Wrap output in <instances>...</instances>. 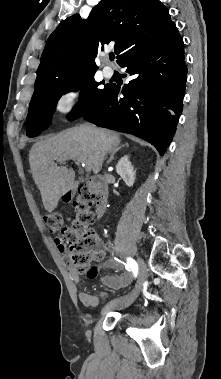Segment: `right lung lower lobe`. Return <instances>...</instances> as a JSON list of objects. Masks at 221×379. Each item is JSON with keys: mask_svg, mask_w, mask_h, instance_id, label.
<instances>
[{"mask_svg": "<svg viewBox=\"0 0 221 379\" xmlns=\"http://www.w3.org/2000/svg\"><path fill=\"white\" fill-rule=\"evenodd\" d=\"M132 80L115 84L81 116L93 124L151 143L162 156L182 113L187 67L175 24L124 56L118 63ZM80 116V117H81Z\"/></svg>", "mask_w": 221, "mask_h": 379, "instance_id": "obj_1", "label": "right lung lower lobe"}]
</instances>
